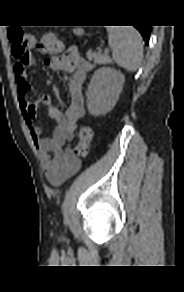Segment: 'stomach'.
Wrapping results in <instances>:
<instances>
[{
    "instance_id": "obj_1",
    "label": "stomach",
    "mask_w": 184,
    "mask_h": 292,
    "mask_svg": "<svg viewBox=\"0 0 184 292\" xmlns=\"http://www.w3.org/2000/svg\"><path fill=\"white\" fill-rule=\"evenodd\" d=\"M76 32H77V33H81V30H80V29H78V30H76Z\"/></svg>"
}]
</instances>
